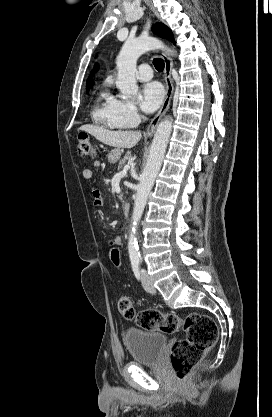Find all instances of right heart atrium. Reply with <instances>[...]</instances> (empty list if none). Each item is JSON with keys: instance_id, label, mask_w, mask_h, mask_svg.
<instances>
[{"instance_id": "1", "label": "right heart atrium", "mask_w": 272, "mask_h": 417, "mask_svg": "<svg viewBox=\"0 0 272 417\" xmlns=\"http://www.w3.org/2000/svg\"><path fill=\"white\" fill-rule=\"evenodd\" d=\"M116 109L119 117L129 126L136 125L141 119L138 108L131 102L117 100Z\"/></svg>"}]
</instances>
